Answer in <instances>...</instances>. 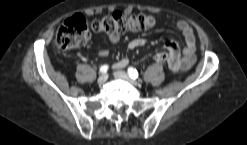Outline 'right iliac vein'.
Here are the masks:
<instances>
[{"mask_svg":"<svg viewBox=\"0 0 247 145\" xmlns=\"http://www.w3.org/2000/svg\"><path fill=\"white\" fill-rule=\"evenodd\" d=\"M107 79H108V74L104 73L98 78L97 82L99 85H102L107 81Z\"/></svg>","mask_w":247,"mask_h":145,"instance_id":"right-iliac-vein-1","label":"right iliac vein"}]
</instances>
